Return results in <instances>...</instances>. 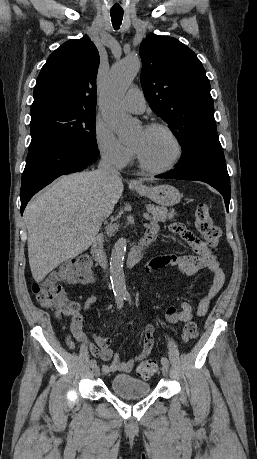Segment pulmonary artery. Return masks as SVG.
Returning <instances> with one entry per match:
<instances>
[{
  "label": "pulmonary artery",
  "mask_w": 257,
  "mask_h": 459,
  "mask_svg": "<svg viewBox=\"0 0 257 459\" xmlns=\"http://www.w3.org/2000/svg\"><path fill=\"white\" fill-rule=\"evenodd\" d=\"M123 107L131 113H142L146 108V101L142 91L138 87H132L123 99Z\"/></svg>",
  "instance_id": "obj_1"
}]
</instances>
